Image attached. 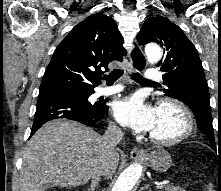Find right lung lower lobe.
<instances>
[{
  "mask_svg": "<svg viewBox=\"0 0 221 191\" xmlns=\"http://www.w3.org/2000/svg\"><path fill=\"white\" fill-rule=\"evenodd\" d=\"M85 91L66 88L40 90L30 137L44 123L54 119H70L87 126L100 121L109 107L105 101L89 105L81 96Z\"/></svg>",
  "mask_w": 221,
  "mask_h": 191,
  "instance_id": "98d812e1",
  "label": "right lung lower lobe"
}]
</instances>
